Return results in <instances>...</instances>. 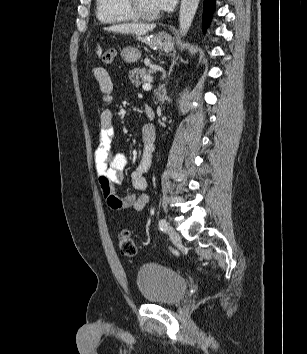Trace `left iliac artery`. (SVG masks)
<instances>
[{
  "mask_svg": "<svg viewBox=\"0 0 307 354\" xmlns=\"http://www.w3.org/2000/svg\"><path fill=\"white\" fill-rule=\"evenodd\" d=\"M167 226H168L167 221L165 219H160L159 221L160 230L165 232L167 230Z\"/></svg>",
  "mask_w": 307,
  "mask_h": 354,
  "instance_id": "obj_1",
  "label": "left iliac artery"
}]
</instances>
